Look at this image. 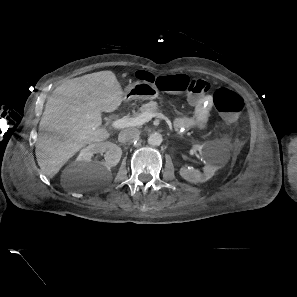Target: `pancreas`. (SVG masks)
Wrapping results in <instances>:
<instances>
[{
    "label": "pancreas",
    "mask_w": 297,
    "mask_h": 297,
    "mask_svg": "<svg viewBox=\"0 0 297 297\" xmlns=\"http://www.w3.org/2000/svg\"><path fill=\"white\" fill-rule=\"evenodd\" d=\"M159 111V106L157 104V102L155 101H150L146 104H143L140 108V113H145V112H149V113H157ZM135 115H140L138 113H136Z\"/></svg>",
    "instance_id": "cf45deb5"
}]
</instances>
